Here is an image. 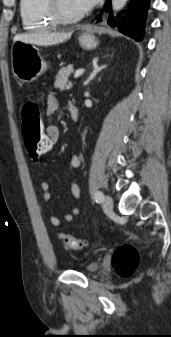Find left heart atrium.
<instances>
[{"label":"left heart atrium","instance_id":"obj_1","mask_svg":"<svg viewBox=\"0 0 171 337\" xmlns=\"http://www.w3.org/2000/svg\"><path fill=\"white\" fill-rule=\"evenodd\" d=\"M82 10H87L95 6L100 0H75Z\"/></svg>","mask_w":171,"mask_h":337}]
</instances>
